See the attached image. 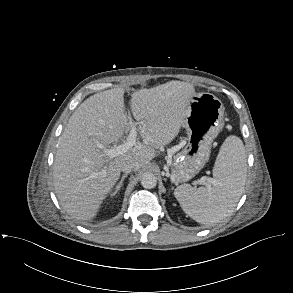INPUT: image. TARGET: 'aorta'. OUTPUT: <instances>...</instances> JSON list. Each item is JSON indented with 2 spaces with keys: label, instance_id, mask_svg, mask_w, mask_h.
Listing matches in <instances>:
<instances>
[{
  "label": "aorta",
  "instance_id": "762f6f07",
  "mask_svg": "<svg viewBox=\"0 0 293 293\" xmlns=\"http://www.w3.org/2000/svg\"><path fill=\"white\" fill-rule=\"evenodd\" d=\"M157 184V178L153 173L146 172L141 176V185L145 189H152Z\"/></svg>",
  "mask_w": 293,
  "mask_h": 293
}]
</instances>
